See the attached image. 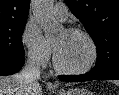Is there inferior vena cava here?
Listing matches in <instances>:
<instances>
[{
    "mask_svg": "<svg viewBox=\"0 0 119 95\" xmlns=\"http://www.w3.org/2000/svg\"><path fill=\"white\" fill-rule=\"evenodd\" d=\"M20 76L27 82L38 81L40 79V59L37 56H29Z\"/></svg>",
    "mask_w": 119,
    "mask_h": 95,
    "instance_id": "1",
    "label": "inferior vena cava"
}]
</instances>
